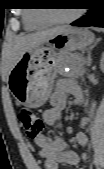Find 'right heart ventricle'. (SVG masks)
Segmentation results:
<instances>
[{
  "label": "right heart ventricle",
  "mask_w": 104,
  "mask_h": 169,
  "mask_svg": "<svg viewBox=\"0 0 104 169\" xmlns=\"http://www.w3.org/2000/svg\"><path fill=\"white\" fill-rule=\"evenodd\" d=\"M24 24L28 29H39L50 24L38 12H26L23 16Z\"/></svg>",
  "instance_id": "e07e8e85"
}]
</instances>
